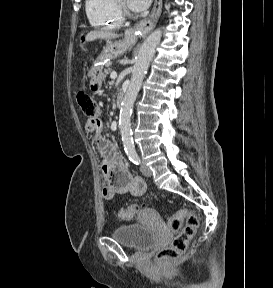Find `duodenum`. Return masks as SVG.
<instances>
[{"mask_svg": "<svg viewBox=\"0 0 273 288\" xmlns=\"http://www.w3.org/2000/svg\"><path fill=\"white\" fill-rule=\"evenodd\" d=\"M116 102L120 106L125 102V95L123 92H118L116 96Z\"/></svg>", "mask_w": 273, "mask_h": 288, "instance_id": "1", "label": "duodenum"}]
</instances>
